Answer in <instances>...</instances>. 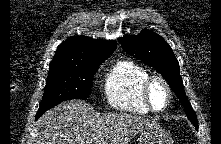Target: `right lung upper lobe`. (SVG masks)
Returning <instances> with one entry per match:
<instances>
[{
    "instance_id": "right-lung-upper-lobe-1",
    "label": "right lung upper lobe",
    "mask_w": 221,
    "mask_h": 144,
    "mask_svg": "<svg viewBox=\"0 0 221 144\" xmlns=\"http://www.w3.org/2000/svg\"><path fill=\"white\" fill-rule=\"evenodd\" d=\"M115 41L73 36L62 42L50 65L103 63L115 50Z\"/></svg>"
}]
</instances>
